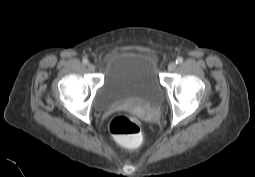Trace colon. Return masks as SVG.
<instances>
[{
	"label": "colon",
	"instance_id": "obj_1",
	"mask_svg": "<svg viewBox=\"0 0 255 177\" xmlns=\"http://www.w3.org/2000/svg\"><path fill=\"white\" fill-rule=\"evenodd\" d=\"M109 130L112 135L129 148L137 147L142 141L139 124L129 116L117 115L112 118Z\"/></svg>",
	"mask_w": 255,
	"mask_h": 177
}]
</instances>
